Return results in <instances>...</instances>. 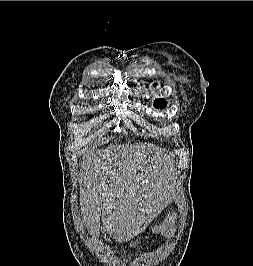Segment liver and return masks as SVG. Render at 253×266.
<instances>
[{
  "instance_id": "liver-1",
  "label": "liver",
  "mask_w": 253,
  "mask_h": 266,
  "mask_svg": "<svg viewBox=\"0 0 253 266\" xmlns=\"http://www.w3.org/2000/svg\"><path fill=\"white\" fill-rule=\"evenodd\" d=\"M168 157L135 145H116L86 156L81 211L93 240L103 230L116 242L131 241L154 217L158 180Z\"/></svg>"
}]
</instances>
